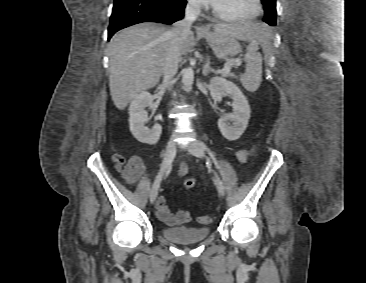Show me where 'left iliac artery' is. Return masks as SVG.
Returning <instances> with one entry per match:
<instances>
[{
    "label": "left iliac artery",
    "instance_id": "obj_1",
    "mask_svg": "<svg viewBox=\"0 0 366 283\" xmlns=\"http://www.w3.org/2000/svg\"><path fill=\"white\" fill-rule=\"evenodd\" d=\"M201 143V145H202V148L209 154V156L211 157V159L213 160V162H214V164H215V166H216V168L218 169V170H220V167H219V164H218V162H217V160H216V158H215V155H214V153L203 143V142H200Z\"/></svg>",
    "mask_w": 366,
    "mask_h": 283
}]
</instances>
